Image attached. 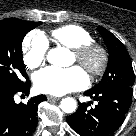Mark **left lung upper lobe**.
I'll return each mask as SVG.
<instances>
[{
	"label": "left lung upper lobe",
	"instance_id": "left-lung-upper-lobe-1",
	"mask_svg": "<svg viewBox=\"0 0 136 136\" xmlns=\"http://www.w3.org/2000/svg\"><path fill=\"white\" fill-rule=\"evenodd\" d=\"M109 50L108 67L102 81L93 90H103L110 87H133L134 71L125 46L104 27H98Z\"/></svg>",
	"mask_w": 136,
	"mask_h": 136
}]
</instances>
